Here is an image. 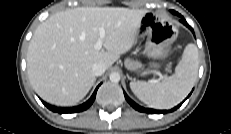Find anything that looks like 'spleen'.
<instances>
[{
	"instance_id": "1",
	"label": "spleen",
	"mask_w": 231,
	"mask_h": 134,
	"mask_svg": "<svg viewBox=\"0 0 231 134\" xmlns=\"http://www.w3.org/2000/svg\"><path fill=\"white\" fill-rule=\"evenodd\" d=\"M198 49L188 44L175 73L161 82L132 81L130 88L135 96L149 107L169 109L180 103L191 91L198 75Z\"/></svg>"
}]
</instances>
